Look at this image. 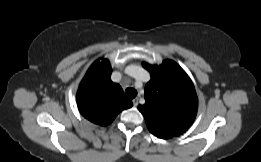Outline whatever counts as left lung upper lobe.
Here are the masks:
<instances>
[{
  "mask_svg": "<svg viewBox=\"0 0 261 162\" xmlns=\"http://www.w3.org/2000/svg\"><path fill=\"white\" fill-rule=\"evenodd\" d=\"M151 74L145 86V104L138 109L147 128L158 138L169 139L184 133L193 123L198 109L194 85L174 61L161 65L143 63Z\"/></svg>",
  "mask_w": 261,
  "mask_h": 162,
  "instance_id": "left-lung-upper-lobe-1",
  "label": "left lung upper lobe"
}]
</instances>
